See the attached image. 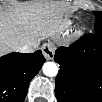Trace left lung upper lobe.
<instances>
[{
	"label": "left lung upper lobe",
	"mask_w": 102,
	"mask_h": 102,
	"mask_svg": "<svg viewBox=\"0 0 102 102\" xmlns=\"http://www.w3.org/2000/svg\"><path fill=\"white\" fill-rule=\"evenodd\" d=\"M94 14L96 16L95 31L101 32L102 31V12L94 11Z\"/></svg>",
	"instance_id": "1"
}]
</instances>
